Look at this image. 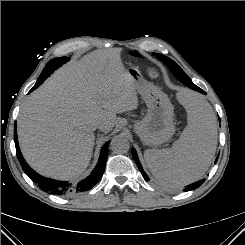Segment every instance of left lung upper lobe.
Listing matches in <instances>:
<instances>
[{
	"instance_id": "left-lung-upper-lobe-1",
	"label": "left lung upper lobe",
	"mask_w": 245,
	"mask_h": 245,
	"mask_svg": "<svg viewBox=\"0 0 245 245\" xmlns=\"http://www.w3.org/2000/svg\"><path fill=\"white\" fill-rule=\"evenodd\" d=\"M154 55L158 57L159 59H161L170 68V70L173 72V74L176 77L181 76L188 83H193L191 79L184 73V71L173 60H171L170 58L164 55L158 54V53H154Z\"/></svg>"
}]
</instances>
